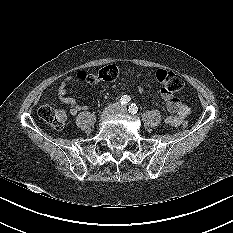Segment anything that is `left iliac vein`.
I'll use <instances>...</instances> for the list:
<instances>
[{
	"label": "left iliac vein",
	"instance_id": "left-iliac-vein-1",
	"mask_svg": "<svg viewBox=\"0 0 233 233\" xmlns=\"http://www.w3.org/2000/svg\"><path fill=\"white\" fill-rule=\"evenodd\" d=\"M126 111H127L126 107H121L120 109L117 110V113L125 114Z\"/></svg>",
	"mask_w": 233,
	"mask_h": 233
}]
</instances>
